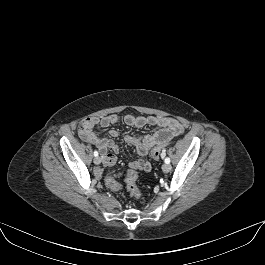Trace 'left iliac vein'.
<instances>
[{"label": "left iliac vein", "instance_id": "obj_1", "mask_svg": "<svg viewBox=\"0 0 265 265\" xmlns=\"http://www.w3.org/2000/svg\"><path fill=\"white\" fill-rule=\"evenodd\" d=\"M162 170H163V172L168 173L171 170V165L167 164V163L163 164Z\"/></svg>", "mask_w": 265, "mask_h": 265}]
</instances>
